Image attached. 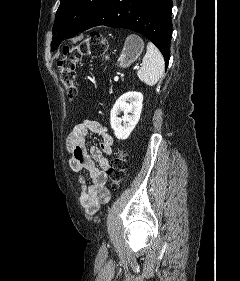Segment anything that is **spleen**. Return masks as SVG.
I'll list each match as a JSON object with an SVG mask.
<instances>
[{"label":"spleen","mask_w":240,"mask_h":281,"mask_svg":"<svg viewBox=\"0 0 240 281\" xmlns=\"http://www.w3.org/2000/svg\"><path fill=\"white\" fill-rule=\"evenodd\" d=\"M165 63L159 49L151 42L142 60V67L137 72L139 79L148 86H154L164 73Z\"/></svg>","instance_id":"spleen-1"}]
</instances>
